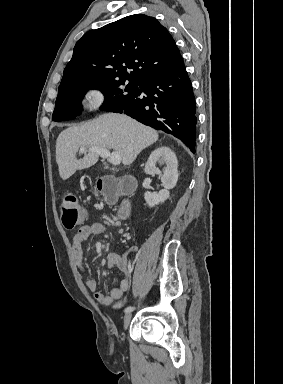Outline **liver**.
I'll return each mask as SVG.
<instances>
[{
  "label": "liver",
  "instance_id": "obj_1",
  "mask_svg": "<svg viewBox=\"0 0 283 384\" xmlns=\"http://www.w3.org/2000/svg\"><path fill=\"white\" fill-rule=\"evenodd\" d=\"M158 140V132L139 124L124 114H102L84 126H71L59 134L56 142V162L59 176L68 180L76 170H85L98 162L99 154L90 152L76 160V152L85 148H110L118 152L122 164L130 166L138 154Z\"/></svg>",
  "mask_w": 283,
  "mask_h": 384
}]
</instances>
